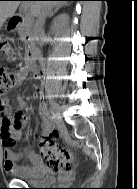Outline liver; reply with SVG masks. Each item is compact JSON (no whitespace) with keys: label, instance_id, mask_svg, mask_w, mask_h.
<instances>
[{"label":"liver","instance_id":"1","mask_svg":"<svg viewBox=\"0 0 137 189\" xmlns=\"http://www.w3.org/2000/svg\"><path fill=\"white\" fill-rule=\"evenodd\" d=\"M19 1H0V29L4 22L12 17L19 6ZM63 2L58 1H34L30 2L31 12L37 16L43 9H51ZM64 4V3H63Z\"/></svg>","mask_w":137,"mask_h":189}]
</instances>
